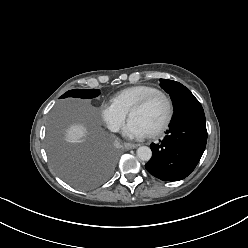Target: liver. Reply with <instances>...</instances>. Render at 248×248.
<instances>
[{"instance_id":"6515ba94","label":"liver","mask_w":248,"mask_h":248,"mask_svg":"<svg viewBox=\"0 0 248 248\" xmlns=\"http://www.w3.org/2000/svg\"><path fill=\"white\" fill-rule=\"evenodd\" d=\"M88 134V129L84 124H73L65 133L66 140L72 143L81 142Z\"/></svg>"}]
</instances>
